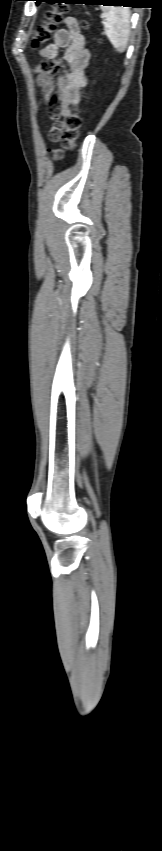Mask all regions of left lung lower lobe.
<instances>
[{
	"label": "left lung lower lobe",
	"instance_id": "1",
	"mask_svg": "<svg viewBox=\"0 0 162 851\" xmlns=\"http://www.w3.org/2000/svg\"><path fill=\"white\" fill-rule=\"evenodd\" d=\"M42 1L48 2V3H56L55 0H37L36 3L39 4ZM94 1H96L98 3L103 2L104 5L109 4V5H122V6H127V4H132L134 2L133 0H94ZM67 3H77V2L76 1H70V2H67Z\"/></svg>",
	"mask_w": 162,
	"mask_h": 851
}]
</instances>
